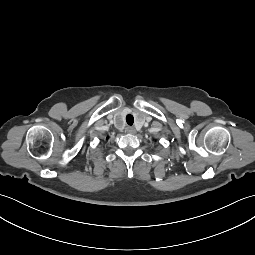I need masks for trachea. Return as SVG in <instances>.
<instances>
[{"instance_id": "1", "label": "trachea", "mask_w": 255, "mask_h": 255, "mask_svg": "<svg viewBox=\"0 0 255 255\" xmlns=\"http://www.w3.org/2000/svg\"><path fill=\"white\" fill-rule=\"evenodd\" d=\"M126 122H127V124L128 125H133V123H134V118H133V116L131 115V114H128L127 116H126Z\"/></svg>"}]
</instances>
